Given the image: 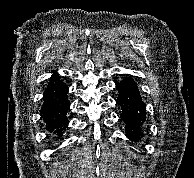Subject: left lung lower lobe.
Segmentation results:
<instances>
[{
  "mask_svg": "<svg viewBox=\"0 0 194 178\" xmlns=\"http://www.w3.org/2000/svg\"><path fill=\"white\" fill-rule=\"evenodd\" d=\"M116 88L119 91L117 103L122 108L120 117L125 123L126 136L137 142L143 137L146 105L132 77L128 76L118 82Z\"/></svg>",
  "mask_w": 194,
  "mask_h": 178,
  "instance_id": "0a47b994",
  "label": "left lung lower lobe"
}]
</instances>
